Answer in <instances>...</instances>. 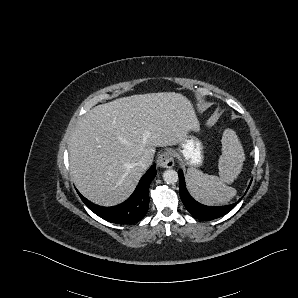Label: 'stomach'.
<instances>
[{
  "instance_id": "0dacf381",
  "label": "stomach",
  "mask_w": 298,
  "mask_h": 298,
  "mask_svg": "<svg viewBox=\"0 0 298 298\" xmlns=\"http://www.w3.org/2000/svg\"><path fill=\"white\" fill-rule=\"evenodd\" d=\"M198 131H190L184 142L175 150V156L189 167H201L204 162V143L196 135Z\"/></svg>"
}]
</instances>
